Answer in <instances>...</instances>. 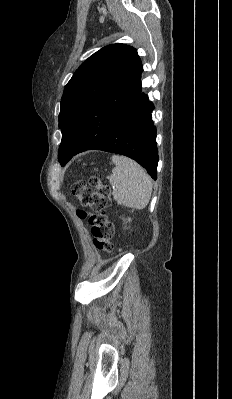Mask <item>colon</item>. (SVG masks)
Returning a JSON list of instances; mask_svg holds the SVG:
<instances>
[{"mask_svg":"<svg viewBox=\"0 0 232 399\" xmlns=\"http://www.w3.org/2000/svg\"><path fill=\"white\" fill-rule=\"evenodd\" d=\"M87 168H94V163H87ZM100 179L94 181L93 175H86V181L74 182L72 193L75 196H81L82 200L86 199V203H82V208H86V212L94 214V217H88L87 213H79L78 217L83 222H87L89 230H92L91 242L98 250H102L103 254L110 255L114 252V241L117 238V225H113L110 219H107V205H111V181ZM103 262H110V257H103Z\"/></svg>","mask_w":232,"mask_h":399,"instance_id":"1","label":"colon"}]
</instances>
